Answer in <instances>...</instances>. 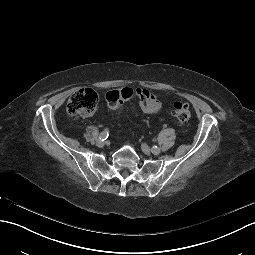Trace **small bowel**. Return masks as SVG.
Segmentation results:
<instances>
[{"label": "small bowel", "instance_id": "small-bowel-1", "mask_svg": "<svg viewBox=\"0 0 255 255\" xmlns=\"http://www.w3.org/2000/svg\"><path fill=\"white\" fill-rule=\"evenodd\" d=\"M139 92V106L143 114H157L163 109V102L157 95L146 89H137Z\"/></svg>", "mask_w": 255, "mask_h": 255}]
</instances>
